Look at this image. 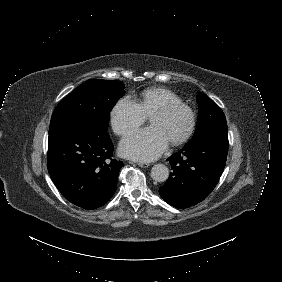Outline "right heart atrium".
<instances>
[{
	"label": "right heart atrium",
	"instance_id": "d8ad5b80",
	"mask_svg": "<svg viewBox=\"0 0 282 282\" xmlns=\"http://www.w3.org/2000/svg\"><path fill=\"white\" fill-rule=\"evenodd\" d=\"M146 116L130 98L119 101L111 111V125L117 135H125L145 122Z\"/></svg>",
	"mask_w": 282,
	"mask_h": 282
}]
</instances>
